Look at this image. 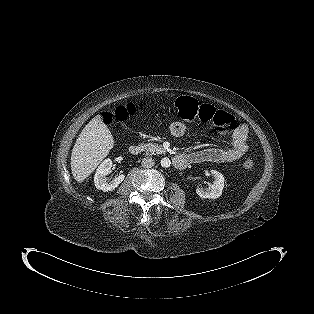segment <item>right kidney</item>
<instances>
[{
    "label": "right kidney",
    "mask_w": 314,
    "mask_h": 314,
    "mask_svg": "<svg viewBox=\"0 0 314 314\" xmlns=\"http://www.w3.org/2000/svg\"><path fill=\"white\" fill-rule=\"evenodd\" d=\"M112 161L111 159H105L97 168L94 183L97 189L104 192L113 191L124 180L125 175L120 174L116 176L112 181H108L106 176L111 172Z\"/></svg>",
    "instance_id": "1"
}]
</instances>
